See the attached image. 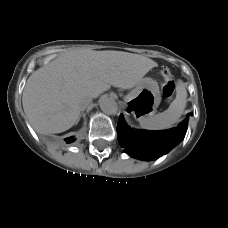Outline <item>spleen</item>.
Segmentation results:
<instances>
[{
  "instance_id": "1",
  "label": "spleen",
  "mask_w": 228,
  "mask_h": 228,
  "mask_svg": "<svg viewBox=\"0 0 228 228\" xmlns=\"http://www.w3.org/2000/svg\"><path fill=\"white\" fill-rule=\"evenodd\" d=\"M187 91L183 84L176 88V98L169 108L154 116L144 117L140 120L141 127L149 130H163L172 127L178 122L186 107Z\"/></svg>"
}]
</instances>
